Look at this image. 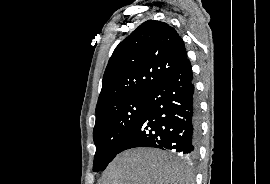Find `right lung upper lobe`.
I'll return each mask as SVG.
<instances>
[{"mask_svg": "<svg viewBox=\"0 0 270 184\" xmlns=\"http://www.w3.org/2000/svg\"><path fill=\"white\" fill-rule=\"evenodd\" d=\"M187 59L177 31L167 23H142L114 50L102 82L96 118L113 104L147 96Z\"/></svg>", "mask_w": 270, "mask_h": 184, "instance_id": "obj_1", "label": "right lung upper lobe"}]
</instances>
